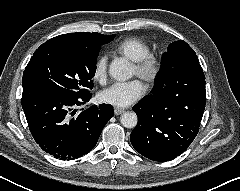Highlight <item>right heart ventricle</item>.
Here are the masks:
<instances>
[{
  "instance_id": "right-heart-ventricle-1",
  "label": "right heart ventricle",
  "mask_w": 240,
  "mask_h": 191,
  "mask_svg": "<svg viewBox=\"0 0 240 191\" xmlns=\"http://www.w3.org/2000/svg\"><path fill=\"white\" fill-rule=\"evenodd\" d=\"M115 52L135 62L150 53L149 45L136 37H129L118 42L114 47Z\"/></svg>"
}]
</instances>
